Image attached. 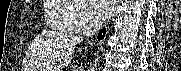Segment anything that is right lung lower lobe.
Wrapping results in <instances>:
<instances>
[{
  "label": "right lung lower lobe",
  "instance_id": "obj_1",
  "mask_svg": "<svg viewBox=\"0 0 181 71\" xmlns=\"http://www.w3.org/2000/svg\"><path fill=\"white\" fill-rule=\"evenodd\" d=\"M106 34V29H102L98 34V40L103 39Z\"/></svg>",
  "mask_w": 181,
  "mask_h": 71
}]
</instances>
